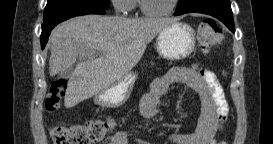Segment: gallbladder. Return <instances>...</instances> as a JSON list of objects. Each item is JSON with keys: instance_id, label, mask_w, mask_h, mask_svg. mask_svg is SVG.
Segmentation results:
<instances>
[{"instance_id": "1", "label": "gallbladder", "mask_w": 273, "mask_h": 144, "mask_svg": "<svg viewBox=\"0 0 273 144\" xmlns=\"http://www.w3.org/2000/svg\"><path fill=\"white\" fill-rule=\"evenodd\" d=\"M73 68H74L73 65H67V67L64 69L63 73L61 72V74H63V75H60L59 79L60 80H68L69 76L74 71Z\"/></svg>"}]
</instances>
